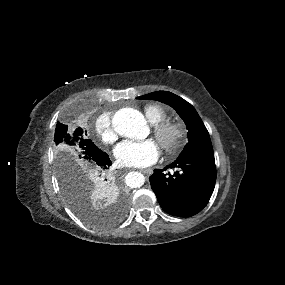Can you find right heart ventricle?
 <instances>
[{"label":"right heart ventricle","instance_id":"right-heart-ventricle-1","mask_svg":"<svg viewBox=\"0 0 285 285\" xmlns=\"http://www.w3.org/2000/svg\"><path fill=\"white\" fill-rule=\"evenodd\" d=\"M144 114L152 124H157L164 121L167 118L166 109L156 103L148 104L144 107Z\"/></svg>","mask_w":285,"mask_h":285}]
</instances>
